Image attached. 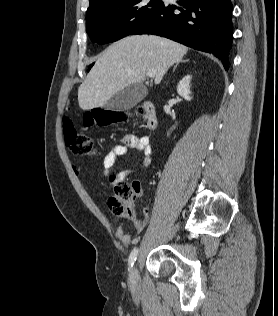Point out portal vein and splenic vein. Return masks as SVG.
I'll return each instance as SVG.
<instances>
[{
  "label": "portal vein and splenic vein",
  "mask_w": 278,
  "mask_h": 316,
  "mask_svg": "<svg viewBox=\"0 0 278 316\" xmlns=\"http://www.w3.org/2000/svg\"><path fill=\"white\" fill-rule=\"evenodd\" d=\"M155 74H156V71L153 70V69H151V70H149V71L147 72L148 77H151V78L154 77Z\"/></svg>",
  "instance_id": "obj_1"
}]
</instances>
